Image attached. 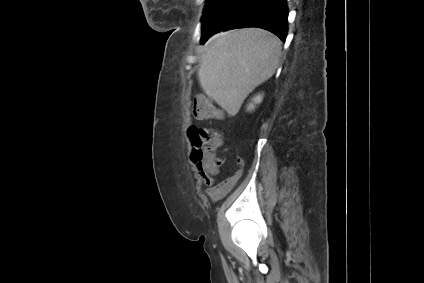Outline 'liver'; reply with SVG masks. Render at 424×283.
<instances>
[{"instance_id": "1", "label": "liver", "mask_w": 424, "mask_h": 283, "mask_svg": "<svg viewBox=\"0 0 424 283\" xmlns=\"http://www.w3.org/2000/svg\"><path fill=\"white\" fill-rule=\"evenodd\" d=\"M203 51L197 72L200 86L235 116L246 97L274 74L281 41L267 30L244 28L214 35Z\"/></svg>"}]
</instances>
